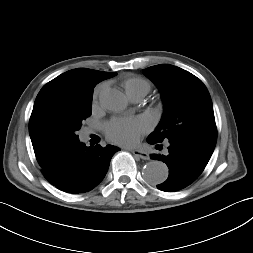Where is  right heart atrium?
<instances>
[{
  "label": "right heart atrium",
  "mask_w": 253,
  "mask_h": 253,
  "mask_svg": "<svg viewBox=\"0 0 253 253\" xmlns=\"http://www.w3.org/2000/svg\"><path fill=\"white\" fill-rule=\"evenodd\" d=\"M103 86H100L96 92H95V98L98 96V94L100 93V91L102 90Z\"/></svg>",
  "instance_id": "right-heart-atrium-1"
}]
</instances>
